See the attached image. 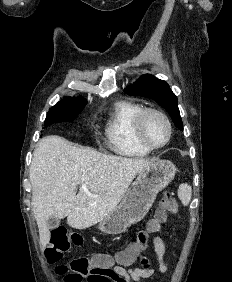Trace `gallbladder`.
<instances>
[{"instance_id": "obj_1", "label": "gallbladder", "mask_w": 232, "mask_h": 282, "mask_svg": "<svg viewBox=\"0 0 232 282\" xmlns=\"http://www.w3.org/2000/svg\"><path fill=\"white\" fill-rule=\"evenodd\" d=\"M59 225H60V219L59 218L52 216L47 220V226H48L49 229H55Z\"/></svg>"}]
</instances>
